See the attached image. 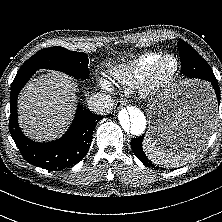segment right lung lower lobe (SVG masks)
<instances>
[{
  "mask_svg": "<svg viewBox=\"0 0 222 222\" xmlns=\"http://www.w3.org/2000/svg\"><path fill=\"white\" fill-rule=\"evenodd\" d=\"M36 70H19L15 76L11 86L9 130L26 161L47 170H62L85 157L91 145L93 130L103 116L79 105L70 128L60 139L37 143L25 137L17 122V97Z\"/></svg>",
  "mask_w": 222,
  "mask_h": 222,
  "instance_id": "98d812e1",
  "label": "right lung lower lobe"
}]
</instances>
